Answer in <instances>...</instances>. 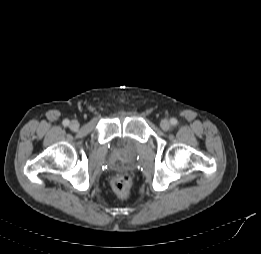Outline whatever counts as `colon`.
I'll return each instance as SVG.
<instances>
[{
    "mask_svg": "<svg viewBox=\"0 0 261 254\" xmlns=\"http://www.w3.org/2000/svg\"><path fill=\"white\" fill-rule=\"evenodd\" d=\"M132 186V178L127 173L115 174L111 179L113 191L121 198L128 197Z\"/></svg>",
    "mask_w": 261,
    "mask_h": 254,
    "instance_id": "colon-1",
    "label": "colon"
}]
</instances>
